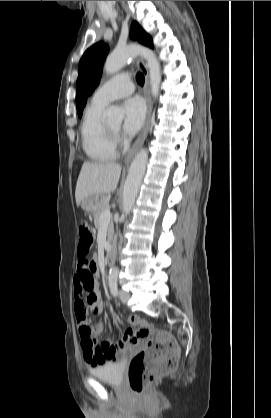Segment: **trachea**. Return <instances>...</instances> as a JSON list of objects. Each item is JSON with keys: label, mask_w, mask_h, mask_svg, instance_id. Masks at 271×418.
Instances as JSON below:
<instances>
[{"label": "trachea", "mask_w": 271, "mask_h": 418, "mask_svg": "<svg viewBox=\"0 0 271 418\" xmlns=\"http://www.w3.org/2000/svg\"><path fill=\"white\" fill-rule=\"evenodd\" d=\"M136 79H137V82H138L140 85H143V84H144V76H143V74H141V73H137V75H136Z\"/></svg>", "instance_id": "obj_1"}]
</instances>
